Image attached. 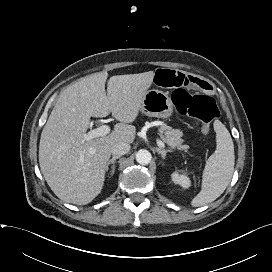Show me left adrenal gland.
<instances>
[{"instance_id":"1","label":"left adrenal gland","mask_w":272,"mask_h":272,"mask_svg":"<svg viewBox=\"0 0 272 272\" xmlns=\"http://www.w3.org/2000/svg\"><path fill=\"white\" fill-rule=\"evenodd\" d=\"M156 151H157L158 154H161V157H162L163 159H165L166 154H167L168 152H172V150H170V149L165 150V149H160V148H156Z\"/></svg>"}]
</instances>
